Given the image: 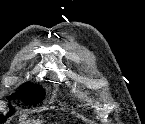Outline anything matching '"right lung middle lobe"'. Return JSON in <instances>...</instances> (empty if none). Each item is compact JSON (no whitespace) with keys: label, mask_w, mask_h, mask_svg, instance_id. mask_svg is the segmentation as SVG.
<instances>
[{"label":"right lung middle lobe","mask_w":145,"mask_h":124,"mask_svg":"<svg viewBox=\"0 0 145 124\" xmlns=\"http://www.w3.org/2000/svg\"><path fill=\"white\" fill-rule=\"evenodd\" d=\"M45 92L42 88L33 86L31 84H26L22 89L17 91V93L13 94L12 96L7 97L8 100L20 98L25 102L27 105H33L40 103L44 98ZM10 112L4 116H0V122L6 121L7 117L11 116L14 113V108L9 105Z\"/></svg>","instance_id":"1"}]
</instances>
